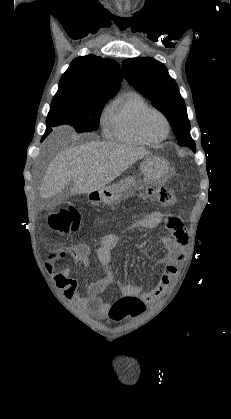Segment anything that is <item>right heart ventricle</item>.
<instances>
[{
	"instance_id": "e07e8e85",
	"label": "right heart ventricle",
	"mask_w": 231,
	"mask_h": 419,
	"mask_svg": "<svg viewBox=\"0 0 231 419\" xmlns=\"http://www.w3.org/2000/svg\"><path fill=\"white\" fill-rule=\"evenodd\" d=\"M149 105L137 93H127L109 107L104 123L107 138L132 145L148 144L137 130V119Z\"/></svg>"
}]
</instances>
